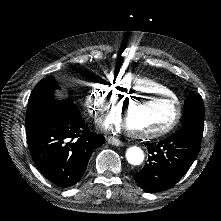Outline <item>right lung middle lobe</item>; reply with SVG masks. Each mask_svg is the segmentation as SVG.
Masks as SVG:
<instances>
[{
  "mask_svg": "<svg viewBox=\"0 0 221 221\" xmlns=\"http://www.w3.org/2000/svg\"><path fill=\"white\" fill-rule=\"evenodd\" d=\"M57 87L58 83L52 76H47L36 84L28 101L26 128L38 121L67 118L79 114L71 99L63 102L54 99L53 92Z\"/></svg>",
  "mask_w": 221,
  "mask_h": 221,
  "instance_id": "dd1d6c3e",
  "label": "right lung middle lobe"
}]
</instances>
